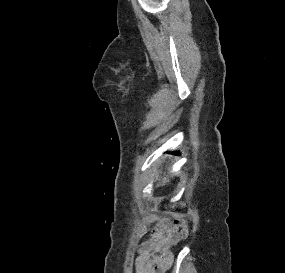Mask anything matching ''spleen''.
<instances>
[{
	"label": "spleen",
	"instance_id": "3e777b00",
	"mask_svg": "<svg viewBox=\"0 0 285 273\" xmlns=\"http://www.w3.org/2000/svg\"><path fill=\"white\" fill-rule=\"evenodd\" d=\"M166 182H168V180L165 178V179L163 180V184H165Z\"/></svg>",
	"mask_w": 285,
	"mask_h": 273
}]
</instances>
